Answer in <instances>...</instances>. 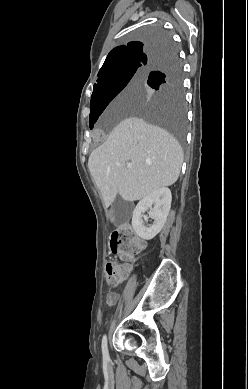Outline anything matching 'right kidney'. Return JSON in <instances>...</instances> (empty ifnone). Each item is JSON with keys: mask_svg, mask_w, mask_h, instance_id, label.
Segmentation results:
<instances>
[{"mask_svg": "<svg viewBox=\"0 0 248 389\" xmlns=\"http://www.w3.org/2000/svg\"><path fill=\"white\" fill-rule=\"evenodd\" d=\"M171 200L170 189L163 187L139 201L132 216V226L139 237L151 240L162 230L171 208ZM152 206L154 207L152 208ZM148 209H151L149 215L154 219V222L151 226L146 227L142 217Z\"/></svg>", "mask_w": 248, "mask_h": 389, "instance_id": "obj_1", "label": "right kidney"}]
</instances>
